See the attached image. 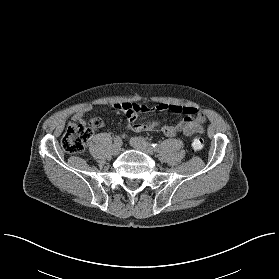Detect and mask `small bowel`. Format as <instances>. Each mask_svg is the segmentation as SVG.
I'll return each instance as SVG.
<instances>
[{
    "label": "small bowel",
    "mask_w": 279,
    "mask_h": 279,
    "mask_svg": "<svg viewBox=\"0 0 279 279\" xmlns=\"http://www.w3.org/2000/svg\"><path fill=\"white\" fill-rule=\"evenodd\" d=\"M141 105V111L139 114L146 113L148 111V107L144 104ZM128 103H115L113 107L123 112L128 121H129V129L134 132H145L153 130L152 124L140 123L137 122L138 114H134L127 109ZM91 109L90 106L82 107L75 113L72 117L73 121H84V115L89 112ZM156 109L159 111H167L171 113H182L184 117L182 120L176 125H164L159 129L163 135L167 137H173L178 133H182L186 137H191L195 134H202L204 133V123L206 122V117L204 113L200 110H196L190 107H181L178 105H170L162 102H158L156 105ZM101 120V119H100ZM104 125L103 121L97 128H101ZM124 137V135H123Z\"/></svg>",
    "instance_id": "obj_1"
}]
</instances>
